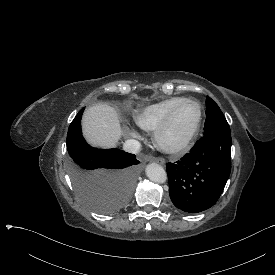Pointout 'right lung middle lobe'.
Returning <instances> with one entry per match:
<instances>
[{
    "label": "right lung middle lobe",
    "mask_w": 275,
    "mask_h": 275,
    "mask_svg": "<svg viewBox=\"0 0 275 275\" xmlns=\"http://www.w3.org/2000/svg\"><path fill=\"white\" fill-rule=\"evenodd\" d=\"M79 111L69 126L68 169L78 198L89 209L101 214H114L129 203L141 166L134 154L119 149H97L82 136Z\"/></svg>",
    "instance_id": "obj_1"
}]
</instances>
